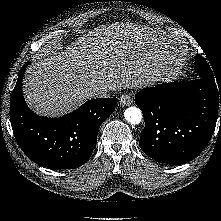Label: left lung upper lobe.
<instances>
[{
    "label": "left lung upper lobe",
    "mask_w": 221,
    "mask_h": 221,
    "mask_svg": "<svg viewBox=\"0 0 221 221\" xmlns=\"http://www.w3.org/2000/svg\"><path fill=\"white\" fill-rule=\"evenodd\" d=\"M195 70H196V73L201 78H205V79H207L209 81L215 82V79L213 77V73L211 71L210 66L208 65L206 60L202 56H200V55H196Z\"/></svg>",
    "instance_id": "1"
}]
</instances>
